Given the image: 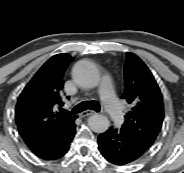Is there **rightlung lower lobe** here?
Wrapping results in <instances>:
<instances>
[{"instance_id":"1","label":"right lung lower lobe","mask_w":184,"mask_h":173,"mask_svg":"<svg viewBox=\"0 0 184 173\" xmlns=\"http://www.w3.org/2000/svg\"><path fill=\"white\" fill-rule=\"evenodd\" d=\"M75 129L76 125L72 123L27 145L39 158L57 160L68 152L70 143L76 132Z\"/></svg>"}]
</instances>
